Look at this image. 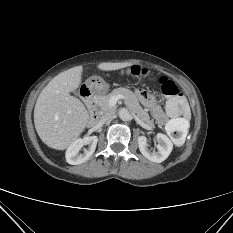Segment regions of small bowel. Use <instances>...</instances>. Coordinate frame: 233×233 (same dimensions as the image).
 I'll list each match as a JSON object with an SVG mask.
<instances>
[{"label":"small bowel","instance_id":"small-bowel-1","mask_svg":"<svg viewBox=\"0 0 233 233\" xmlns=\"http://www.w3.org/2000/svg\"><path fill=\"white\" fill-rule=\"evenodd\" d=\"M137 95L139 99L147 105L148 107H151L153 109V115L154 117L161 123H164L166 120L165 114L161 107L157 106L154 99L144 90L139 89L137 91Z\"/></svg>","mask_w":233,"mask_h":233}]
</instances>
